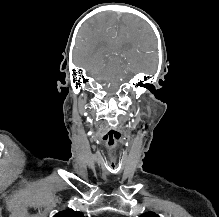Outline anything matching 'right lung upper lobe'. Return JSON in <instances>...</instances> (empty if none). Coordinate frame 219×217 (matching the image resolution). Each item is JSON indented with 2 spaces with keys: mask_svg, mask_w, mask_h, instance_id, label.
<instances>
[{
  "mask_svg": "<svg viewBox=\"0 0 219 217\" xmlns=\"http://www.w3.org/2000/svg\"><path fill=\"white\" fill-rule=\"evenodd\" d=\"M53 217H84V215L81 212H76L74 210H66L57 213Z\"/></svg>",
  "mask_w": 219,
  "mask_h": 217,
  "instance_id": "1",
  "label": "right lung upper lobe"
}]
</instances>
